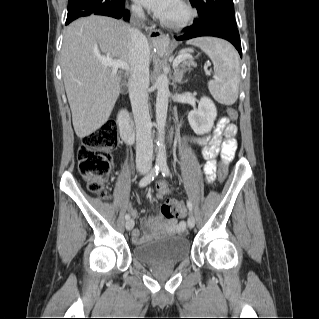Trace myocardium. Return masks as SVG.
<instances>
[{
	"mask_svg": "<svg viewBox=\"0 0 319 319\" xmlns=\"http://www.w3.org/2000/svg\"><path fill=\"white\" fill-rule=\"evenodd\" d=\"M182 14L176 18H160V23L172 29H181L187 26L195 17L196 11L187 0H178Z\"/></svg>",
	"mask_w": 319,
	"mask_h": 319,
	"instance_id": "myocardium-1",
	"label": "myocardium"
}]
</instances>
